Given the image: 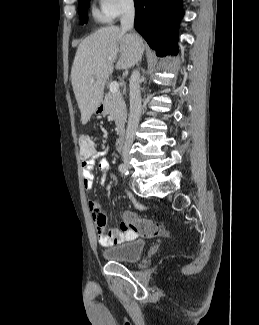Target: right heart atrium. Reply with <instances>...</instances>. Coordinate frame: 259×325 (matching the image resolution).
Wrapping results in <instances>:
<instances>
[{
  "label": "right heart atrium",
  "mask_w": 259,
  "mask_h": 325,
  "mask_svg": "<svg viewBox=\"0 0 259 325\" xmlns=\"http://www.w3.org/2000/svg\"><path fill=\"white\" fill-rule=\"evenodd\" d=\"M99 12L105 20H113L133 7L134 0H98Z\"/></svg>",
  "instance_id": "1"
}]
</instances>
